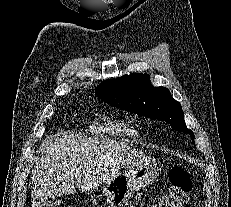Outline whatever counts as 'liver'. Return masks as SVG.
Returning a JSON list of instances; mask_svg holds the SVG:
<instances>
[{
  "label": "liver",
  "mask_w": 231,
  "mask_h": 207,
  "mask_svg": "<svg viewBox=\"0 0 231 207\" xmlns=\"http://www.w3.org/2000/svg\"><path fill=\"white\" fill-rule=\"evenodd\" d=\"M31 175V207L97 188L143 153L113 141L61 132L42 142ZM75 183V185H74Z\"/></svg>",
  "instance_id": "1"
}]
</instances>
